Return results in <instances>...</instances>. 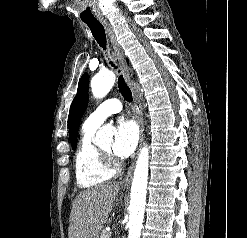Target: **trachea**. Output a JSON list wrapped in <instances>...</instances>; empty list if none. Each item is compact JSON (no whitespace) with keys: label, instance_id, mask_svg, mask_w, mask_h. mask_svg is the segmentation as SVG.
Returning a JSON list of instances; mask_svg holds the SVG:
<instances>
[{"label":"trachea","instance_id":"obj_1","mask_svg":"<svg viewBox=\"0 0 247 238\" xmlns=\"http://www.w3.org/2000/svg\"><path fill=\"white\" fill-rule=\"evenodd\" d=\"M85 23L90 28L93 37L96 39L97 43L103 49H106V35L104 27L101 25V23L98 21H85ZM110 64L115 67L112 61H110ZM118 88L126 101L131 102L133 100L131 90L125 83L122 75H120L118 78Z\"/></svg>","mask_w":247,"mask_h":238}]
</instances>
